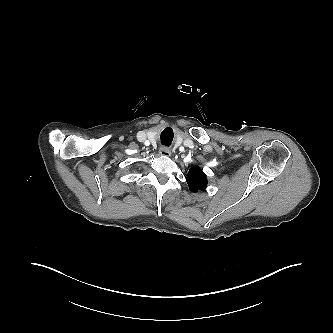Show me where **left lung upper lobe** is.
Returning a JSON list of instances; mask_svg holds the SVG:
<instances>
[{
  "instance_id": "obj_1",
  "label": "left lung upper lobe",
  "mask_w": 333,
  "mask_h": 333,
  "mask_svg": "<svg viewBox=\"0 0 333 333\" xmlns=\"http://www.w3.org/2000/svg\"><path fill=\"white\" fill-rule=\"evenodd\" d=\"M187 183L191 191L197 192L206 188L207 178L202 170L198 169V167H193L188 173Z\"/></svg>"
}]
</instances>
